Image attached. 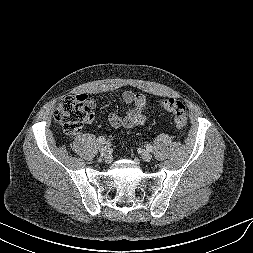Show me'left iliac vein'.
Wrapping results in <instances>:
<instances>
[{
    "instance_id": "4c4485c4",
    "label": "left iliac vein",
    "mask_w": 253,
    "mask_h": 253,
    "mask_svg": "<svg viewBox=\"0 0 253 253\" xmlns=\"http://www.w3.org/2000/svg\"><path fill=\"white\" fill-rule=\"evenodd\" d=\"M141 158H142L144 161H146V162H150L152 156H151V154H150L149 151L143 150V151L141 152Z\"/></svg>"
}]
</instances>
